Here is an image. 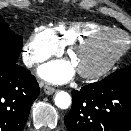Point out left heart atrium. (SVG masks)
Returning <instances> with one entry per match:
<instances>
[{
	"label": "left heart atrium",
	"instance_id": "39dd6f15",
	"mask_svg": "<svg viewBox=\"0 0 131 131\" xmlns=\"http://www.w3.org/2000/svg\"><path fill=\"white\" fill-rule=\"evenodd\" d=\"M74 73V65L65 60L52 61L39 69L41 77L54 83L65 82L72 78Z\"/></svg>",
	"mask_w": 131,
	"mask_h": 131
}]
</instances>
